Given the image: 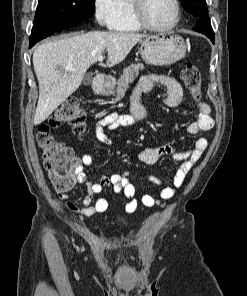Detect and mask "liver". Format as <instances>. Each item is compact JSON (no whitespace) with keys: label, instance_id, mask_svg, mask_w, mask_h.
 Here are the masks:
<instances>
[{"label":"liver","instance_id":"1","mask_svg":"<svg viewBox=\"0 0 247 296\" xmlns=\"http://www.w3.org/2000/svg\"><path fill=\"white\" fill-rule=\"evenodd\" d=\"M145 35L92 31L48 41L33 53L39 83V99L34 124L45 121L82 83L87 69L107 51L108 67L122 62Z\"/></svg>","mask_w":247,"mask_h":296}]
</instances>
